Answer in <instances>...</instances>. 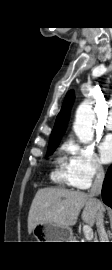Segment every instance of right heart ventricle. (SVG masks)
<instances>
[{
  "label": "right heart ventricle",
  "mask_w": 112,
  "mask_h": 270,
  "mask_svg": "<svg viewBox=\"0 0 112 270\" xmlns=\"http://www.w3.org/2000/svg\"><path fill=\"white\" fill-rule=\"evenodd\" d=\"M56 168L51 174L52 179L60 185L68 183V175L63 158L58 157L55 161ZM69 184V183H68Z\"/></svg>",
  "instance_id": "right-heart-ventricle-1"
}]
</instances>
